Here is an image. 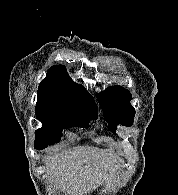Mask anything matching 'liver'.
Returning a JSON list of instances; mask_svg holds the SVG:
<instances>
[{"instance_id": "obj_1", "label": "liver", "mask_w": 178, "mask_h": 195, "mask_svg": "<svg viewBox=\"0 0 178 195\" xmlns=\"http://www.w3.org/2000/svg\"><path fill=\"white\" fill-rule=\"evenodd\" d=\"M111 155L94 147H80L45 157L49 181L65 195H83L114 176Z\"/></svg>"}]
</instances>
